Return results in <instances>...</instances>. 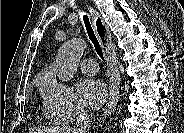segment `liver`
Listing matches in <instances>:
<instances>
[{"mask_svg": "<svg viewBox=\"0 0 184 133\" xmlns=\"http://www.w3.org/2000/svg\"><path fill=\"white\" fill-rule=\"evenodd\" d=\"M35 133H74L72 129L67 127H44L41 129H36Z\"/></svg>", "mask_w": 184, "mask_h": 133, "instance_id": "liver-1", "label": "liver"}]
</instances>
